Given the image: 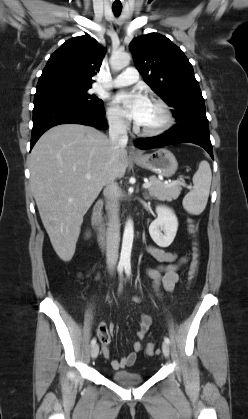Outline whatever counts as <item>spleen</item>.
Wrapping results in <instances>:
<instances>
[{"label": "spleen", "mask_w": 248, "mask_h": 419, "mask_svg": "<svg viewBox=\"0 0 248 419\" xmlns=\"http://www.w3.org/2000/svg\"><path fill=\"white\" fill-rule=\"evenodd\" d=\"M211 179L210 165L203 160L193 176V189L183 199V207L188 213L199 215L203 212L209 197Z\"/></svg>", "instance_id": "spleen-1"}]
</instances>
